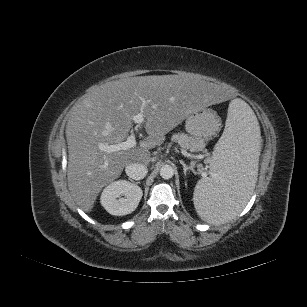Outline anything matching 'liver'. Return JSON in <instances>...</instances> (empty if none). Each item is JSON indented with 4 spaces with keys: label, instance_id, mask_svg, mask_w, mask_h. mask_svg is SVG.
I'll use <instances>...</instances> for the list:
<instances>
[{
    "label": "liver",
    "instance_id": "obj_1",
    "mask_svg": "<svg viewBox=\"0 0 307 307\" xmlns=\"http://www.w3.org/2000/svg\"><path fill=\"white\" fill-rule=\"evenodd\" d=\"M225 86L192 75H150L92 86L69 113L68 188L76 204L90 212L103 187L117 179L131 163L148 165L150 150L194 111L232 98ZM142 112L148 134L138 146L106 154L100 143L112 145L126 139L132 118Z\"/></svg>",
    "mask_w": 307,
    "mask_h": 307
}]
</instances>
